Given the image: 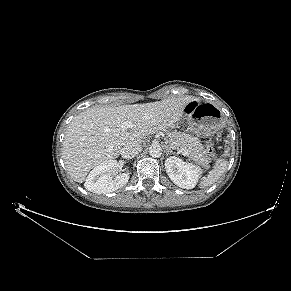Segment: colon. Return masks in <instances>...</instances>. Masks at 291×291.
Segmentation results:
<instances>
[{
  "label": "colon",
  "mask_w": 291,
  "mask_h": 291,
  "mask_svg": "<svg viewBox=\"0 0 291 291\" xmlns=\"http://www.w3.org/2000/svg\"><path fill=\"white\" fill-rule=\"evenodd\" d=\"M205 151L209 156H212L214 154V146L211 142L206 143Z\"/></svg>",
  "instance_id": "colon-1"
}]
</instances>
